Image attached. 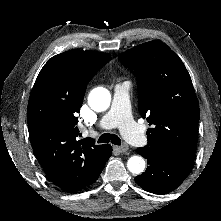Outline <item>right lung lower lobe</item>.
<instances>
[{
    "label": "right lung lower lobe",
    "instance_id": "right-lung-lower-lobe-1",
    "mask_svg": "<svg viewBox=\"0 0 221 221\" xmlns=\"http://www.w3.org/2000/svg\"><path fill=\"white\" fill-rule=\"evenodd\" d=\"M111 154H112V147L110 146V145H108V150H107V156H106V161L110 158V156H111ZM106 163V162H105ZM103 170V169H102ZM102 170H101V172H102ZM100 172V173H101ZM100 175V174H99ZM98 175V176H99ZM98 178V177H97Z\"/></svg>",
    "mask_w": 221,
    "mask_h": 221
}]
</instances>
